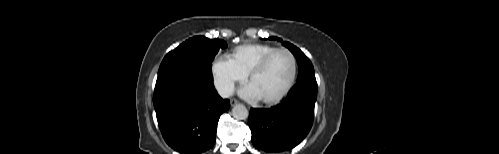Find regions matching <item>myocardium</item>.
Listing matches in <instances>:
<instances>
[{
	"mask_svg": "<svg viewBox=\"0 0 499 154\" xmlns=\"http://www.w3.org/2000/svg\"><path fill=\"white\" fill-rule=\"evenodd\" d=\"M278 53H285L288 55V57L290 58L291 60V64H292V71H291V76L289 78V81L288 83L286 84V86L283 88V90L276 96L272 97V98H267V99H261V101L265 104H276L278 102H280L284 97L287 96V94L291 91L294 83H295V80H296V76H297V60L295 58V56L293 55L292 52H290L288 49H285V48H277L273 51H271L270 53H268L267 55H265L260 61H258L251 69L250 71L248 72V80L250 81L252 79L253 76H255L256 74L260 73L261 71L264 70V68L267 66V64L269 63V61Z\"/></svg>",
	"mask_w": 499,
	"mask_h": 154,
	"instance_id": "1",
	"label": "myocardium"
}]
</instances>
